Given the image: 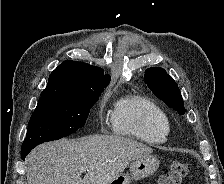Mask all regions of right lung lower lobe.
<instances>
[{
  "instance_id": "98d812e1",
  "label": "right lung lower lobe",
  "mask_w": 224,
  "mask_h": 184,
  "mask_svg": "<svg viewBox=\"0 0 224 184\" xmlns=\"http://www.w3.org/2000/svg\"><path fill=\"white\" fill-rule=\"evenodd\" d=\"M34 147L30 148H22L21 149V158L22 160H25L26 155L33 149Z\"/></svg>"
}]
</instances>
